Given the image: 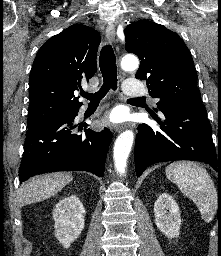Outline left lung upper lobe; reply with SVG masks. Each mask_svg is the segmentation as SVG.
I'll return each mask as SVG.
<instances>
[{
    "mask_svg": "<svg viewBox=\"0 0 221 256\" xmlns=\"http://www.w3.org/2000/svg\"><path fill=\"white\" fill-rule=\"evenodd\" d=\"M124 34L126 50L141 60L135 77L147 81L149 94L160 99L159 110L205 108L196 86L193 59L178 34L148 20L128 25Z\"/></svg>",
    "mask_w": 221,
    "mask_h": 256,
    "instance_id": "obj_1",
    "label": "left lung upper lobe"
}]
</instances>
